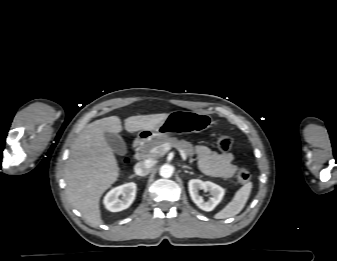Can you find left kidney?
Masks as SVG:
<instances>
[{"mask_svg": "<svg viewBox=\"0 0 337 261\" xmlns=\"http://www.w3.org/2000/svg\"><path fill=\"white\" fill-rule=\"evenodd\" d=\"M188 188L193 202L204 211H212L220 203L225 193V190L219 185L199 179H191L188 182ZM199 190L209 191L211 195L209 200L204 201L198 193Z\"/></svg>", "mask_w": 337, "mask_h": 261, "instance_id": "left-kidney-1", "label": "left kidney"}]
</instances>
